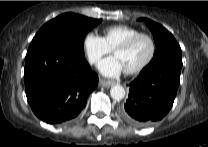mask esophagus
<instances>
[{"instance_id": "34e87169", "label": "esophagus", "mask_w": 208, "mask_h": 147, "mask_svg": "<svg viewBox=\"0 0 208 147\" xmlns=\"http://www.w3.org/2000/svg\"><path fill=\"white\" fill-rule=\"evenodd\" d=\"M114 84H115V82H113V81L100 79V85L105 87V88H109V87L113 86Z\"/></svg>"}]
</instances>
